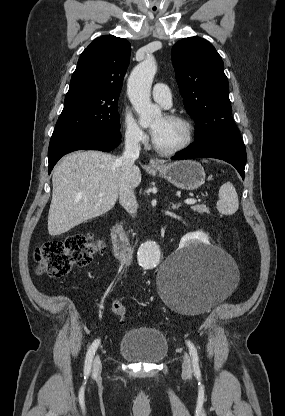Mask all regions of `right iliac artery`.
<instances>
[{"instance_id":"right-iliac-artery-1","label":"right iliac artery","mask_w":285,"mask_h":416,"mask_svg":"<svg viewBox=\"0 0 285 416\" xmlns=\"http://www.w3.org/2000/svg\"><path fill=\"white\" fill-rule=\"evenodd\" d=\"M99 344H100V340H95L90 346V348L88 349V352L86 354V359H85V367H84L85 377L88 376L91 370L93 357L95 355V351L97 350Z\"/></svg>"}]
</instances>
